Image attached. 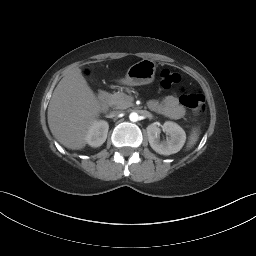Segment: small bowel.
I'll return each instance as SVG.
<instances>
[{
    "instance_id": "small-bowel-1",
    "label": "small bowel",
    "mask_w": 256,
    "mask_h": 256,
    "mask_svg": "<svg viewBox=\"0 0 256 256\" xmlns=\"http://www.w3.org/2000/svg\"><path fill=\"white\" fill-rule=\"evenodd\" d=\"M150 108L169 119L178 120L186 115V110L179 104L175 95H168L162 101H151Z\"/></svg>"
}]
</instances>
